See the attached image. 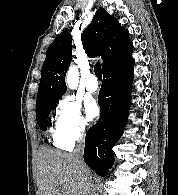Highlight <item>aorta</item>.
Masks as SVG:
<instances>
[{
	"label": "aorta",
	"instance_id": "762f6f07",
	"mask_svg": "<svg viewBox=\"0 0 178 195\" xmlns=\"http://www.w3.org/2000/svg\"><path fill=\"white\" fill-rule=\"evenodd\" d=\"M79 82V73L75 66H71L68 70L66 83L70 89H76Z\"/></svg>",
	"mask_w": 178,
	"mask_h": 195
}]
</instances>
